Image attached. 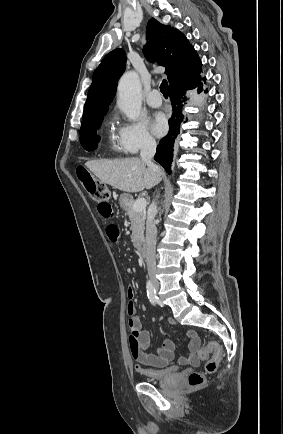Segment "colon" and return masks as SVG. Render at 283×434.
Wrapping results in <instances>:
<instances>
[{
    "label": "colon",
    "mask_w": 283,
    "mask_h": 434,
    "mask_svg": "<svg viewBox=\"0 0 283 434\" xmlns=\"http://www.w3.org/2000/svg\"><path fill=\"white\" fill-rule=\"evenodd\" d=\"M77 175L88 195L96 202H108L110 199V191L108 187L95 179L91 173L84 167L77 170ZM197 355L201 360H205V371L213 373L217 370L218 362L221 357V349L219 345L214 342H208L204 347L197 351ZM205 382V375L202 372H192L188 376V384L192 388H197Z\"/></svg>",
    "instance_id": "1"
}]
</instances>
